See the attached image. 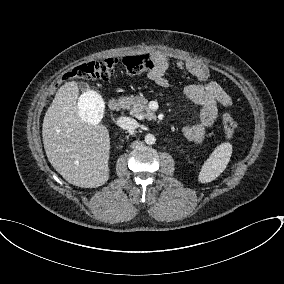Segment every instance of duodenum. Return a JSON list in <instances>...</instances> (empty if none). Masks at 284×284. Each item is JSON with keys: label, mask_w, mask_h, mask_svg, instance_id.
Instances as JSON below:
<instances>
[{"label": "duodenum", "mask_w": 284, "mask_h": 284, "mask_svg": "<svg viewBox=\"0 0 284 284\" xmlns=\"http://www.w3.org/2000/svg\"><path fill=\"white\" fill-rule=\"evenodd\" d=\"M109 107L113 111H119L121 109V107H122V103H121V101L119 99L112 98L109 101Z\"/></svg>", "instance_id": "obj_1"}]
</instances>
